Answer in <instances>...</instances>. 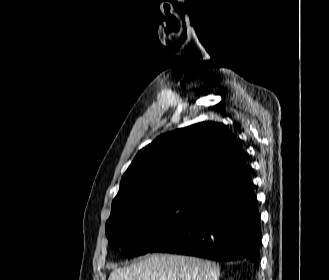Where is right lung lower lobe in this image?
Returning a JSON list of instances; mask_svg holds the SVG:
<instances>
[{
    "mask_svg": "<svg viewBox=\"0 0 329 280\" xmlns=\"http://www.w3.org/2000/svg\"><path fill=\"white\" fill-rule=\"evenodd\" d=\"M250 172L245 165L215 182L187 219L149 252L247 259L258 267L260 216Z\"/></svg>",
    "mask_w": 329,
    "mask_h": 280,
    "instance_id": "right-lung-lower-lobe-1",
    "label": "right lung lower lobe"
}]
</instances>
